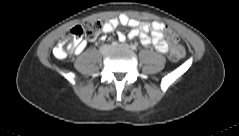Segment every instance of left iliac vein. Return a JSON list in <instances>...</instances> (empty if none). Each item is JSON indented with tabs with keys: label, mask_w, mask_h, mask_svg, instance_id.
Listing matches in <instances>:
<instances>
[{
	"label": "left iliac vein",
	"mask_w": 239,
	"mask_h": 136,
	"mask_svg": "<svg viewBox=\"0 0 239 136\" xmlns=\"http://www.w3.org/2000/svg\"><path fill=\"white\" fill-rule=\"evenodd\" d=\"M117 47H122V48H126V49L129 48V46L127 44H119L117 46H113L112 48H117Z\"/></svg>",
	"instance_id": "4c4485c4"
}]
</instances>
